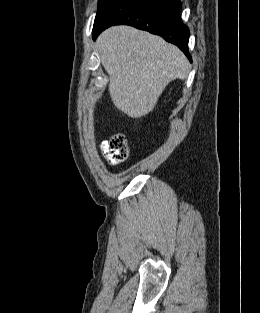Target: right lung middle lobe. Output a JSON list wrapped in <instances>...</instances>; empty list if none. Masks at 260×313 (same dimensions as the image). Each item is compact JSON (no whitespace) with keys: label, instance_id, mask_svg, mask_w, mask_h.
I'll return each mask as SVG.
<instances>
[{"label":"right lung middle lobe","instance_id":"obj_1","mask_svg":"<svg viewBox=\"0 0 260 313\" xmlns=\"http://www.w3.org/2000/svg\"><path fill=\"white\" fill-rule=\"evenodd\" d=\"M119 0H99L98 12L94 21V26L102 18V16Z\"/></svg>","mask_w":260,"mask_h":313}]
</instances>
